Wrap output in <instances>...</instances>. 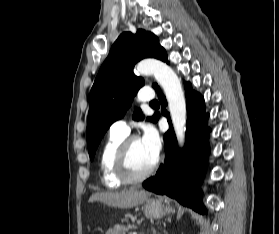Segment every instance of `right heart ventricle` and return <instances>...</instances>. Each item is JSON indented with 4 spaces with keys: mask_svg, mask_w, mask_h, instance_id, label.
Returning <instances> with one entry per match:
<instances>
[{
    "mask_svg": "<svg viewBox=\"0 0 279 234\" xmlns=\"http://www.w3.org/2000/svg\"><path fill=\"white\" fill-rule=\"evenodd\" d=\"M126 135L111 132L99 156V167L102 183L108 188H117L123 185L114 169V160L117 148Z\"/></svg>",
    "mask_w": 279,
    "mask_h": 234,
    "instance_id": "e07e8e85",
    "label": "right heart ventricle"
}]
</instances>
